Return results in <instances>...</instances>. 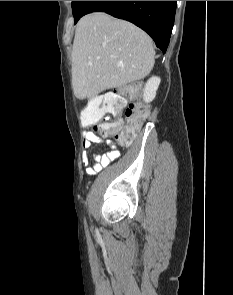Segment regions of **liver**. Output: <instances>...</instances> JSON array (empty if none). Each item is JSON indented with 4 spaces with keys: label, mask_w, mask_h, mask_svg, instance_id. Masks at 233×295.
Instances as JSON below:
<instances>
[{
    "label": "liver",
    "mask_w": 233,
    "mask_h": 295,
    "mask_svg": "<svg viewBox=\"0 0 233 295\" xmlns=\"http://www.w3.org/2000/svg\"><path fill=\"white\" fill-rule=\"evenodd\" d=\"M155 63L153 41L134 24L103 12L83 16L72 48V88L91 99L145 78Z\"/></svg>",
    "instance_id": "liver-1"
}]
</instances>
